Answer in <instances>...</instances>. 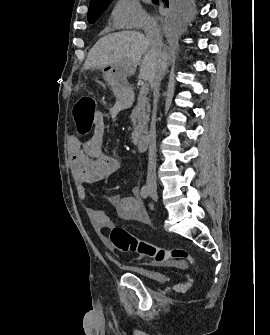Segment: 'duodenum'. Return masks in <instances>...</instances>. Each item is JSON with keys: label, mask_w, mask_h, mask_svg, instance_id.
<instances>
[{"label": "duodenum", "mask_w": 270, "mask_h": 335, "mask_svg": "<svg viewBox=\"0 0 270 335\" xmlns=\"http://www.w3.org/2000/svg\"><path fill=\"white\" fill-rule=\"evenodd\" d=\"M131 100H132V97L128 92L125 91L122 93L121 101H122L123 106L127 107L131 103ZM135 144L137 146V149L140 152H145L147 150L148 141L145 136L137 137L135 140Z\"/></svg>", "instance_id": "duodenum-1"}]
</instances>
